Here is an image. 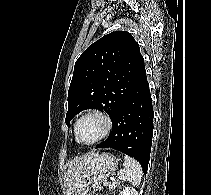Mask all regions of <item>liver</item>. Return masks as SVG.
Segmentation results:
<instances>
[{
  "instance_id": "obj_1",
  "label": "liver",
  "mask_w": 211,
  "mask_h": 195,
  "mask_svg": "<svg viewBox=\"0 0 211 195\" xmlns=\"http://www.w3.org/2000/svg\"><path fill=\"white\" fill-rule=\"evenodd\" d=\"M96 156H98L97 153L90 152L69 162L67 178L65 180V184L67 186V195L81 194L84 180L88 172V165Z\"/></svg>"
}]
</instances>
